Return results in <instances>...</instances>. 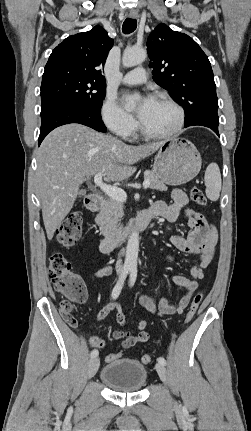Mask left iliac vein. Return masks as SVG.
Masks as SVG:
<instances>
[{
  "mask_svg": "<svg viewBox=\"0 0 251 431\" xmlns=\"http://www.w3.org/2000/svg\"><path fill=\"white\" fill-rule=\"evenodd\" d=\"M155 368H156V371H157L160 379L166 385L167 384V372H166L165 366L158 362L155 365Z\"/></svg>",
  "mask_w": 251,
  "mask_h": 431,
  "instance_id": "4c4485c4",
  "label": "left iliac vein"
}]
</instances>
